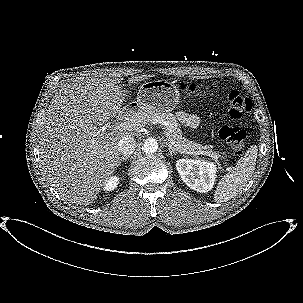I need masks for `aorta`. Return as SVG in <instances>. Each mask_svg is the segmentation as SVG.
<instances>
[{
	"label": "aorta",
	"instance_id": "aorta-1",
	"mask_svg": "<svg viewBox=\"0 0 303 303\" xmlns=\"http://www.w3.org/2000/svg\"><path fill=\"white\" fill-rule=\"evenodd\" d=\"M142 150L145 154H153L155 152H157L158 150V142L156 139L154 138H147L144 141V144L142 146Z\"/></svg>",
	"mask_w": 303,
	"mask_h": 303
}]
</instances>
